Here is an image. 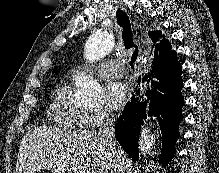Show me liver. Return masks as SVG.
Returning <instances> with one entry per match:
<instances>
[{"instance_id":"6515ba94","label":"liver","mask_w":219,"mask_h":173,"mask_svg":"<svg viewBox=\"0 0 219 173\" xmlns=\"http://www.w3.org/2000/svg\"><path fill=\"white\" fill-rule=\"evenodd\" d=\"M108 155V146L98 134L37 127L21 140L16 173H35L40 169L57 173H109ZM124 159L119 148L118 173Z\"/></svg>"}]
</instances>
